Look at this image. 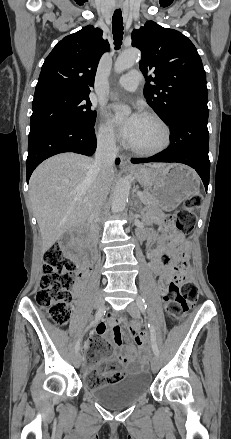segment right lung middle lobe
I'll list each match as a JSON object with an SVG mask.
<instances>
[{"mask_svg":"<svg viewBox=\"0 0 231 439\" xmlns=\"http://www.w3.org/2000/svg\"><path fill=\"white\" fill-rule=\"evenodd\" d=\"M30 131L59 121H75L94 125L96 112L91 110L89 95L48 94L33 100Z\"/></svg>","mask_w":231,"mask_h":439,"instance_id":"right-lung-middle-lobe-1","label":"right lung middle lobe"}]
</instances>
